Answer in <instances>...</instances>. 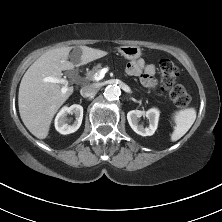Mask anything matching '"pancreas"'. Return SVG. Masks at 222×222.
Segmentation results:
<instances>
[{
	"mask_svg": "<svg viewBox=\"0 0 222 222\" xmlns=\"http://www.w3.org/2000/svg\"><path fill=\"white\" fill-rule=\"evenodd\" d=\"M101 68H102L101 64L94 66L92 70H90L86 73V79L89 81L95 80L94 75H95V73L99 72L101 70Z\"/></svg>",
	"mask_w": 222,
	"mask_h": 222,
	"instance_id": "cf45deb5",
	"label": "pancreas"
}]
</instances>
